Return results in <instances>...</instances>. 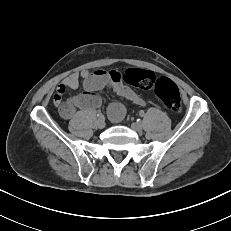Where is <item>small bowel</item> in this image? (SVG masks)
Here are the masks:
<instances>
[{"label":"small bowel","instance_id":"1","mask_svg":"<svg viewBox=\"0 0 231 231\" xmlns=\"http://www.w3.org/2000/svg\"><path fill=\"white\" fill-rule=\"evenodd\" d=\"M80 85L83 92L79 95L64 99L68 89H77ZM110 89L116 95L139 106H144L145 100L122 80V73L113 70H96L90 72L83 70L74 72L65 77L59 84L53 97V103L58 108L61 117L65 120L72 119L76 110L91 111L101 105V98L98 91ZM110 119L118 122L123 118L124 112L118 106H110L108 110Z\"/></svg>","mask_w":231,"mask_h":231}]
</instances>
